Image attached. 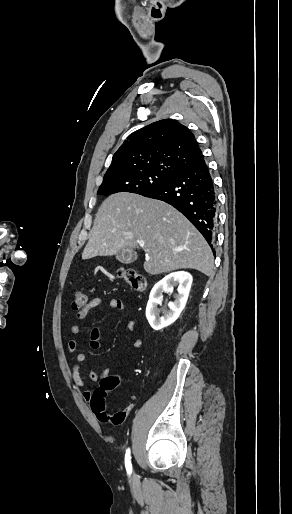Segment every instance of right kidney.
Masks as SVG:
<instances>
[{
	"mask_svg": "<svg viewBox=\"0 0 292 514\" xmlns=\"http://www.w3.org/2000/svg\"><path fill=\"white\" fill-rule=\"evenodd\" d=\"M192 282V276L188 272H173L155 284L146 308V318L154 330H162L179 318L186 306ZM173 286H178L176 300L169 302L170 310L164 312V316L160 318L161 310H158L157 306L162 304L163 292H173Z\"/></svg>",
	"mask_w": 292,
	"mask_h": 514,
	"instance_id": "obj_1",
	"label": "right kidney"
}]
</instances>
